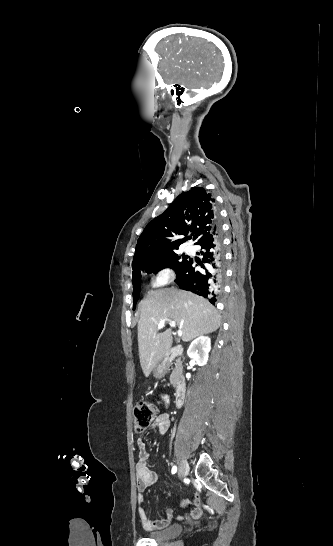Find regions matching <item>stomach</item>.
Returning a JSON list of instances; mask_svg holds the SVG:
<instances>
[{
  "mask_svg": "<svg viewBox=\"0 0 333 546\" xmlns=\"http://www.w3.org/2000/svg\"><path fill=\"white\" fill-rule=\"evenodd\" d=\"M169 368V361L166 356H164L161 360L157 362L155 367L153 368L154 377L155 378H163Z\"/></svg>",
  "mask_w": 333,
  "mask_h": 546,
  "instance_id": "obj_1",
  "label": "stomach"
}]
</instances>
